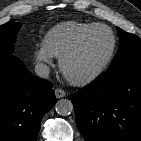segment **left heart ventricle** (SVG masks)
Returning a JSON list of instances; mask_svg holds the SVG:
<instances>
[{
    "instance_id": "1",
    "label": "left heart ventricle",
    "mask_w": 141,
    "mask_h": 141,
    "mask_svg": "<svg viewBox=\"0 0 141 141\" xmlns=\"http://www.w3.org/2000/svg\"><path fill=\"white\" fill-rule=\"evenodd\" d=\"M112 38L106 29L93 31L84 41L80 50L67 64L70 75L79 77L96 69L108 55Z\"/></svg>"
}]
</instances>
